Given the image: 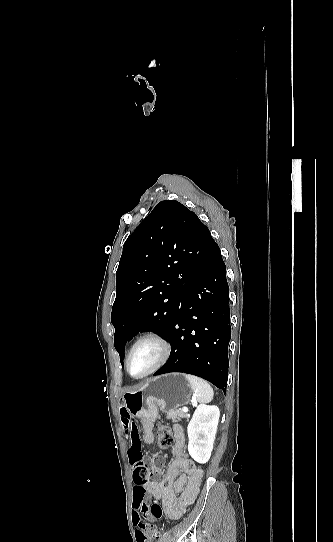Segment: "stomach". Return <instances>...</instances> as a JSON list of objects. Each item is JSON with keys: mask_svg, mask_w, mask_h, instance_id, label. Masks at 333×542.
<instances>
[{"mask_svg": "<svg viewBox=\"0 0 333 542\" xmlns=\"http://www.w3.org/2000/svg\"><path fill=\"white\" fill-rule=\"evenodd\" d=\"M191 396V386L184 374H163L151 378L139 390L126 392L123 404L131 416L155 422L159 410H177L189 404Z\"/></svg>", "mask_w": 333, "mask_h": 542, "instance_id": "stomach-1", "label": "stomach"}]
</instances>
